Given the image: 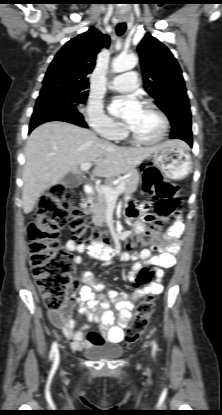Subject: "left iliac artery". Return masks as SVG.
I'll return each mask as SVG.
<instances>
[{"label": "left iliac artery", "instance_id": "44dca946", "mask_svg": "<svg viewBox=\"0 0 222 415\" xmlns=\"http://www.w3.org/2000/svg\"><path fill=\"white\" fill-rule=\"evenodd\" d=\"M153 349H154V351L157 350V345H156L155 342L153 343Z\"/></svg>", "mask_w": 222, "mask_h": 415}]
</instances>
